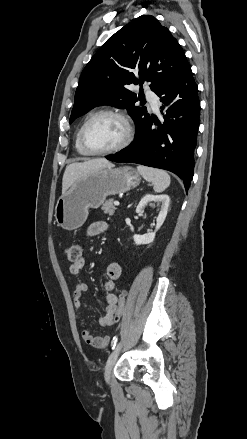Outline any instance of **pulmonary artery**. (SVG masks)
Returning <instances> with one entry per match:
<instances>
[{
    "instance_id": "1",
    "label": "pulmonary artery",
    "mask_w": 247,
    "mask_h": 439,
    "mask_svg": "<svg viewBox=\"0 0 247 439\" xmlns=\"http://www.w3.org/2000/svg\"><path fill=\"white\" fill-rule=\"evenodd\" d=\"M145 94H146L149 102L151 103L153 109L155 111H158V101H157L156 95L152 91H150L149 89L145 90Z\"/></svg>"
}]
</instances>
